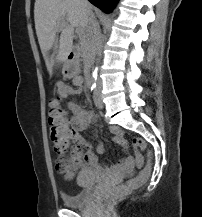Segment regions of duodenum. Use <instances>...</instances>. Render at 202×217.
<instances>
[{"label":"duodenum","mask_w":202,"mask_h":217,"mask_svg":"<svg viewBox=\"0 0 202 217\" xmlns=\"http://www.w3.org/2000/svg\"><path fill=\"white\" fill-rule=\"evenodd\" d=\"M68 65H67V72L70 74L75 73V70L77 69L78 63H77V52L75 50L74 47H72L69 51H68ZM87 84L89 85L92 80L91 77L89 75H87V79H86Z\"/></svg>","instance_id":"duodenum-1"}]
</instances>
